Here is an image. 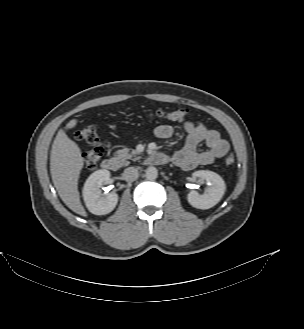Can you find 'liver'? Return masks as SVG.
Returning a JSON list of instances; mask_svg holds the SVG:
<instances>
[{
	"label": "liver",
	"mask_w": 304,
	"mask_h": 329,
	"mask_svg": "<svg viewBox=\"0 0 304 329\" xmlns=\"http://www.w3.org/2000/svg\"><path fill=\"white\" fill-rule=\"evenodd\" d=\"M77 125V120H71L65 130ZM60 130L52 144L50 155V173L53 184L68 208L86 217L87 213L80 201L78 179L84 162L79 146Z\"/></svg>",
	"instance_id": "1"
}]
</instances>
